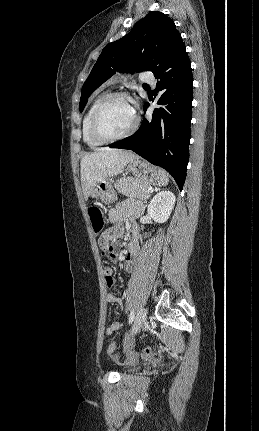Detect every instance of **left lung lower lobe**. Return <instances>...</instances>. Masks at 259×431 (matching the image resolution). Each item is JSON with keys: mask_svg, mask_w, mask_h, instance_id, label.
Wrapping results in <instances>:
<instances>
[{"mask_svg": "<svg viewBox=\"0 0 259 431\" xmlns=\"http://www.w3.org/2000/svg\"><path fill=\"white\" fill-rule=\"evenodd\" d=\"M159 108L144 119L138 132L110 145L130 149L154 165L166 169L182 190L189 161L193 76L182 39L154 72ZM149 104L144 107L146 111Z\"/></svg>", "mask_w": 259, "mask_h": 431, "instance_id": "0a47b994", "label": "left lung lower lobe"}]
</instances>
